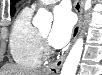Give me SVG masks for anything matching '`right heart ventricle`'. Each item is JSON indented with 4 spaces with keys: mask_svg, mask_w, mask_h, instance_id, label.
<instances>
[{
    "mask_svg": "<svg viewBox=\"0 0 102 75\" xmlns=\"http://www.w3.org/2000/svg\"><path fill=\"white\" fill-rule=\"evenodd\" d=\"M32 10L24 8L17 15L10 36V53L22 66L35 68L41 63L40 33L31 22Z\"/></svg>",
    "mask_w": 102,
    "mask_h": 75,
    "instance_id": "right-heart-ventricle-1",
    "label": "right heart ventricle"
}]
</instances>
